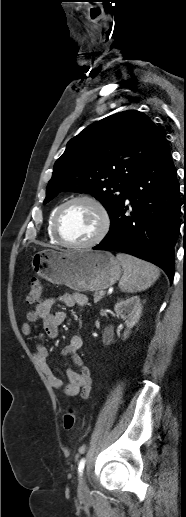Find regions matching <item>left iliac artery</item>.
<instances>
[{
	"mask_svg": "<svg viewBox=\"0 0 186 517\" xmlns=\"http://www.w3.org/2000/svg\"><path fill=\"white\" fill-rule=\"evenodd\" d=\"M84 467H85V459L82 458L79 462V465H78V473L79 475L81 476L82 473H83V470H84Z\"/></svg>",
	"mask_w": 186,
	"mask_h": 517,
	"instance_id": "obj_1",
	"label": "left iliac artery"
}]
</instances>
